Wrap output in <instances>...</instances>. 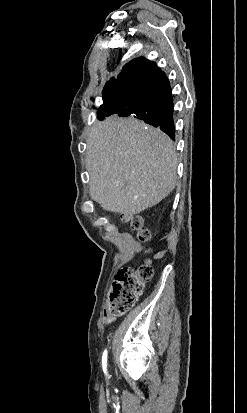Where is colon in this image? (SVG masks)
<instances>
[{
	"label": "colon",
	"mask_w": 247,
	"mask_h": 413,
	"mask_svg": "<svg viewBox=\"0 0 247 413\" xmlns=\"http://www.w3.org/2000/svg\"><path fill=\"white\" fill-rule=\"evenodd\" d=\"M125 220L129 222L131 230L136 232L140 241L146 242L151 239V231L144 225L141 216H130L126 217ZM152 278L153 267L149 262L122 269L111 285L110 314L123 315L127 313L144 294L146 286Z\"/></svg>",
	"instance_id": "5ec220e1"
}]
</instances>
